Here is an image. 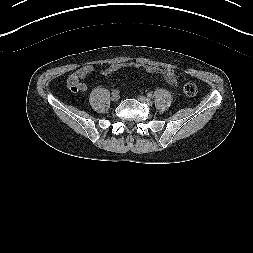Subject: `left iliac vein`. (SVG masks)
Listing matches in <instances>:
<instances>
[{"label": "left iliac vein", "mask_w": 253, "mask_h": 253, "mask_svg": "<svg viewBox=\"0 0 253 253\" xmlns=\"http://www.w3.org/2000/svg\"><path fill=\"white\" fill-rule=\"evenodd\" d=\"M138 99H139L140 101L146 102V103H148V104H150V105L152 104V101H151V99H150L149 97H146V96H139Z\"/></svg>", "instance_id": "1"}]
</instances>
